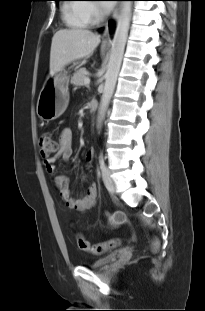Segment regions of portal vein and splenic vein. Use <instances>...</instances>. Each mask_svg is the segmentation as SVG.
<instances>
[{"mask_svg":"<svg viewBox=\"0 0 205 311\" xmlns=\"http://www.w3.org/2000/svg\"><path fill=\"white\" fill-rule=\"evenodd\" d=\"M84 84H85V85H89V84H90V79H89L88 77H86V78L84 79Z\"/></svg>","mask_w":205,"mask_h":311,"instance_id":"1","label":"portal vein and splenic vein"}]
</instances>
